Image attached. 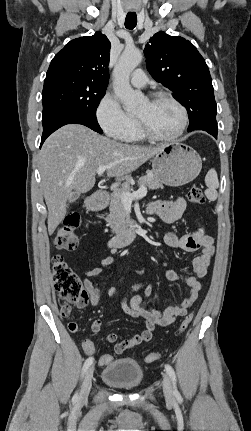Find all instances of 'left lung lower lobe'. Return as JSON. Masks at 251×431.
<instances>
[{"instance_id":"left-lung-lower-lobe-1","label":"left lung lower lobe","mask_w":251,"mask_h":431,"mask_svg":"<svg viewBox=\"0 0 251 431\" xmlns=\"http://www.w3.org/2000/svg\"><path fill=\"white\" fill-rule=\"evenodd\" d=\"M201 130V129H199ZM208 133H210L211 135H213L216 139H217V131H211V130H206Z\"/></svg>"}]
</instances>
